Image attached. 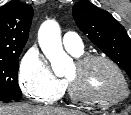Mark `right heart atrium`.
I'll return each instance as SVG.
<instances>
[{
    "label": "right heart atrium",
    "instance_id": "obj_1",
    "mask_svg": "<svg viewBox=\"0 0 131 115\" xmlns=\"http://www.w3.org/2000/svg\"><path fill=\"white\" fill-rule=\"evenodd\" d=\"M18 82L28 98L44 104L58 99L64 90L63 82L52 74L47 61L36 50H29L23 56Z\"/></svg>",
    "mask_w": 131,
    "mask_h": 115
}]
</instances>
